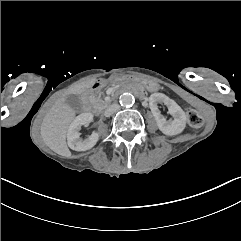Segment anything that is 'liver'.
I'll return each mask as SVG.
<instances>
[{
	"mask_svg": "<svg viewBox=\"0 0 241 241\" xmlns=\"http://www.w3.org/2000/svg\"><path fill=\"white\" fill-rule=\"evenodd\" d=\"M97 79H91L81 82L71 88L60 97L51 106L46 113L41 125V136L45 144L56 154L70 158V152L66 137L69 126L76 116V111L66 102V97L69 95H81L86 90L91 89Z\"/></svg>",
	"mask_w": 241,
	"mask_h": 241,
	"instance_id": "liver-1",
	"label": "liver"
}]
</instances>
